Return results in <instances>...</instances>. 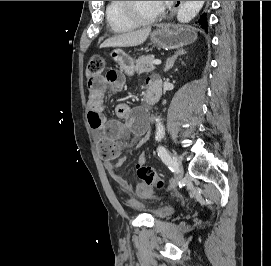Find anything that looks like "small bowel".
Returning <instances> with one entry per match:
<instances>
[{
  "mask_svg": "<svg viewBox=\"0 0 271 266\" xmlns=\"http://www.w3.org/2000/svg\"><path fill=\"white\" fill-rule=\"evenodd\" d=\"M125 78L119 68L111 67L105 74L90 77L88 81L87 118L89 125L99 134V150L104 159L107 172L114 182L125 192L139 197H149L152 189L145 183H139L133 187L118 172L121 159H118L121 151L119 141L125 139L130 133L137 136H146L148 133V121L142 116H135L134 110L125 103L116 106L115 112L120 120H106L103 115L104 91H120L124 86ZM156 82L150 79L149 84Z\"/></svg>",
  "mask_w": 271,
  "mask_h": 266,
  "instance_id": "obj_1",
  "label": "small bowel"
}]
</instances>
